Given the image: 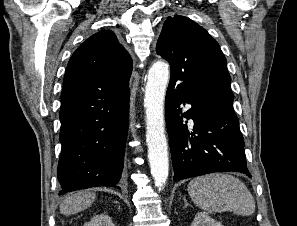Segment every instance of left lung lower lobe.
<instances>
[{"label":"left lung lower lobe","instance_id":"obj_1","mask_svg":"<svg viewBox=\"0 0 297 226\" xmlns=\"http://www.w3.org/2000/svg\"><path fill=\"white\" fill-rule=\"evenodd\" d=\"M192 107L181 114V105ZM183 117L194 121L192 129ZM165 118L174 181L203 174L235 171L252 177L247 168L243 136L233 109V97L203 94L170 79Z\"/></svg>","mask_w":297,"mask_h":226}]
</instances>
